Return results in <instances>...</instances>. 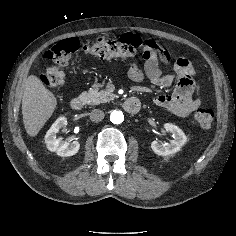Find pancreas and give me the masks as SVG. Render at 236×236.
Returning <instances> with one entry per match:
<instances>
[{"instance_id": "1", "label": "pancreas", "mask_w": 236, "mask_h": 236, "mask_svg": "<svg viewBox=\"0 0 236 236\" xmlns=\"http://www.w3.org/2000/svg\"><path fill=\"white\" fill-rule=\"evenodd\" d=\"M114 94L106 90L99 91L98 88H91L88 92H83L79 98L89 105H98L114 99Z\"/></svg>"}]
</instances>
